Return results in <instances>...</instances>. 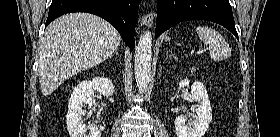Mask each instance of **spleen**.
Here are the masks:
<instances>
[{
	"instance_id": "1",
	"label": "spleen",
	"mask_w": 280,
	"mask_h": 137,
	"mask_svg": "<svg viewBox=\"0 0 280 137\" xmlns=\"http://www.w3.org/2000/svg\"><path fill=\"white\" fill-rule=\"evenodd\" d=\"M199 39L210 46V56L214 61H222L231 56V48L223 36L215 29L207 26L196 28Z\"/></svg>"
}]
</instances>
